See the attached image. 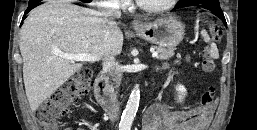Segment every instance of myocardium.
<instances>
[{
    "label": "myocardium",
    "instance_id": "myocardium-1",
    "mask_svg": "<svg viewBox=\"0 0 257 130\" xmlns=\"http://www.w3.org/2000/svg\"><path fill=\"white\" fill-rule=\"evenodd\" d=\"M138 7L147 12V13H162L165 11H168L169 9H171L177 2L178 0H168L167 2H165L162 5L159 6H147L144 5L143 3H141L140 0H136Z\"/></svg>",
    "mask_w": 257,
    "mask_h": 130
}]
</instances>
